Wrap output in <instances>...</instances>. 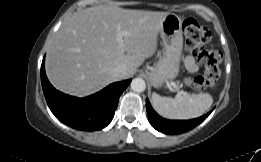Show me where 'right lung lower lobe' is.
Wrapping results in <instances>:
<instances>
[{"label": "right lung lower lobe", "mask_w": 261, "mask_h": 162, "mask_svg": "<svg viewBox=\"0 0 261 162\" xmlns=\"http://www.w3.org/2000/svg\"><path fill=\"white\" fill-rule=\"evenodd\" d=\"M44 60L41 65V83L46 102L62 123L84 131H95L106 127L112 120L119 97L131 80L110 84L100 92L85 98H77L56 90L48 81Z\"/></svg>", "instance_id": "right-lung-lower-lobe-1"}]
</instances>
